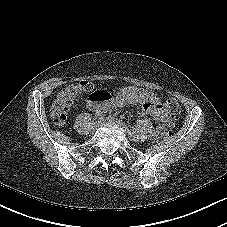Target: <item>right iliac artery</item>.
I'll return each mask as SVG.
<instances>
[{
  "label": "right iliac artery",
  "instance_id": "obj_1",
  "mask_svg": "<svg viewBox=\"0 0 227 227\" xmlns=\"http://www.w3.org/2000/svg\"><path fill=\"white\" fill-rule=\"evenodd\" d=\"M96 115L98 116V115H101V112H96Z\"/></svg>",
  "mask_w": 227,
  "mask_h": 227
}]
</instances>
